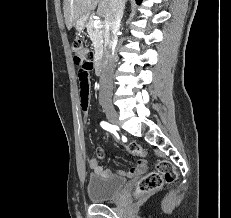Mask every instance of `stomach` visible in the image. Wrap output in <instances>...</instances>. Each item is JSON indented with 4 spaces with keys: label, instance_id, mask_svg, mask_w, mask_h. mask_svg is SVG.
Returning a JSON list of instances; mask_svg holds the SVG:
<instances>
[{
    "label": "stomach",
    "instance_id": "obj_1",
    "mask_svg": "<svg viewBox=\"0 0 231 218\" xmlns=\"http://www.w3.org/2000/svg\"><path fill=\"white\" fill-rule=\"evenodd\" d=\"M86 19H87V17H81L74 23L73 26L76 29V31H78V32L83 31Z\"/></svg>",
    "mask_w": 231,
    "mask_h": 218
}]
</instances>
